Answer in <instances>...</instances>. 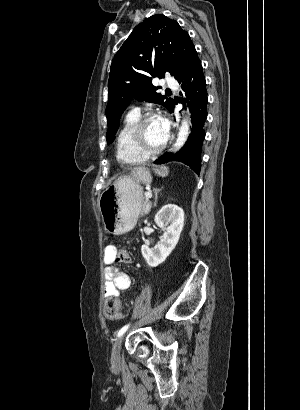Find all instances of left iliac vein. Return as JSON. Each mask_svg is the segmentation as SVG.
I'll return each instance as SVG.
<instances>
[{"mask_svg":"<svg viewBox=\"0 0 300 410\" xmlns=\"http://www.w3.org/2000/svg\"><path fill=\"white\" fill-rule=\"evenodd\" d=\"M123 336H120L116 339L113 344L112 353H111V362L114 365H117L121 362V347H122Z\"/></svg>","mask_w":300,"mask_h":410,"instance_id":"1","label":"left iliac vein"}]
</instances>
